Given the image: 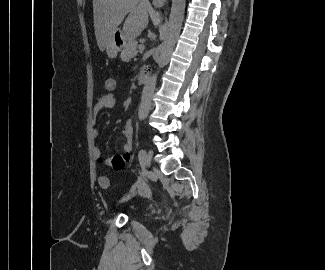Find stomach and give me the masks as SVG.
I'll list each match as a JSON object with an SVG mask.
<instances>
[{
    "mask_svg": "<svg viewBox=\"0 0 325 270\" xmlns=\"http://www.w3.org/2000/svg\"><path fill=\"white\" fill-rule=\"evenodd\" d=\"M128 41L123 31H116L106 45V52L109 58H115L124 44Z\"/></svg>",
    "mask_w": 325,
    "mask_h": 270,
    "instance_id": "1",
    "label": "stomach"
}]
</instances>
